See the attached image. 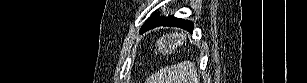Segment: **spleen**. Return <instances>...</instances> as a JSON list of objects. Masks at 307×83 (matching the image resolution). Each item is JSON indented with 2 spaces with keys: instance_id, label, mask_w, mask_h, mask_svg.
<instances>
[{
  "instance_id": "spleen-1",
  "label": "spleen",
  "mask_w": 307,
  "mask_h": 83,
  "mask_svg": "<svg viewBox=\"0 0 307 83\" xmlns=\"http://www.w3.org/2000/svg\"><path fill=\"white\" fill-rule=\"evenodd\" d=\"M147 83H199L195 64L184 61L180 64L160 69Z\"/></svg>"
}]
</instances>
